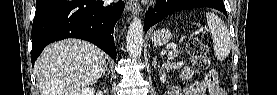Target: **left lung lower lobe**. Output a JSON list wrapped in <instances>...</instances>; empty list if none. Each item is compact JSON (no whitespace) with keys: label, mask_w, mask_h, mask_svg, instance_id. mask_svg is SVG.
<instances>
[{"label":"left lung lower lobe","mask_w":277,"mask_h":95,"mask_svg":"<svg viewBox=\"0 0 277 95\" xmlns=\"http://www.w3.org/2000/svg\"><path fill=\"white\" fill-rule=\"evenodd\" d=\"M180 0H157L154 2V5L148 9L146 12V19L144 28L145 31L149 30L152 25H155L159 21H161L167 15L171 13L183 9H187L185 7L179 6ZM200 7H210L218 9L219 11L227 14L224 3H213L210 0H197Z\"/></svg>","instance_id":"left-lung-lower-lobe-1"}]
</instances>
